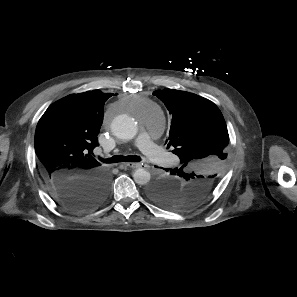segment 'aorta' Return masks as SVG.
I'll list each match as a JSON object with an SVG mask.
<instances>
[{
	"label": "aorta",
	"instance_id": "obj_1",
	"mask_svg": "<svg viewBox=\"0 0 297 297\" xmlns=\"http://www.w3.org/2000/svg\"><path fill=\"white\" fill-rule=\"evenodd\" d=\"M113 134L122 140H131L137 134V126L128 115H119L115 117L111 123ZM150 173L138 168L133 172V179L138 185H146L150 181Z\"/></svg>",
	"mask_w": 297,
	"mask_h": 297
}]
</instances>
